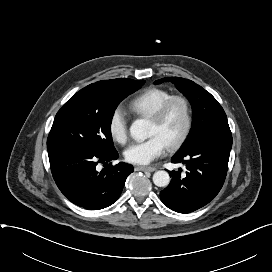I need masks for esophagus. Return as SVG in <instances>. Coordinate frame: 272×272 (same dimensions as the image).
I'll use <instances>...</instances> for the list:
<instances>
[{
	"label": "esophagus",
	"mask_w": 272,
	"mask_h": 272,
	"mask_svg": "<svg viewBox=\"0 0 272 272\" xmlns=\"http://www.w3.org/2000/svg\"><path fill=\"white\" fill-rule=\"evenodd\" d=\"M135 169L137 171H149V172H153L156 170L155 167H148V166H137Z\"/></svg>",
	"instance_id": "esophagus-1"
}]
</instances>
